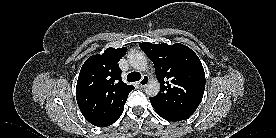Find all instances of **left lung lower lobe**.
I'll return each instance as SVG.
<instances>
[{"instance_id":"obj_1","label":"left lung lower lobe","mask_w":276,"mask_h":138,"mask_svg":"<svg viewBox=\"0 0 276 138\" xmlns=\"http://www.w3.org/2000/svg\"><path fill=\"white\" fill-rule=\"evenodd\" d=\"M159 116H161L162 118H164L165 120H168V121H181V120H185L184 118H177V117H170L166 114H162V113H159Z\"/></svg>"}]
</instances>
